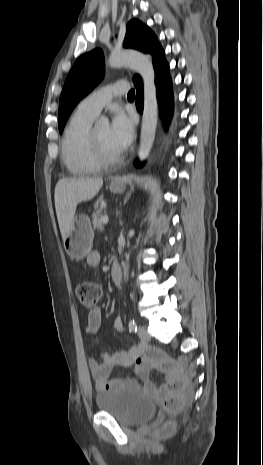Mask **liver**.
I'll list each match as a JSON object with an SVG mask.
<instances>
[{"label": "liver", "mask_w": 263, "mask_h": 465, "mask_svg": "<svg viewBox=\"0 0 263 465\" xmlns=\"http://www.w3.org/2000/svg\"><path fill=\"white\" fill-rule=\"evenodd\" d=\"M102 185V178H64L57 182L55 209L63 240L74 219L77 205L94 198Z\"/></svg>", "instance_id": "6515ba94"}]
</instances>
